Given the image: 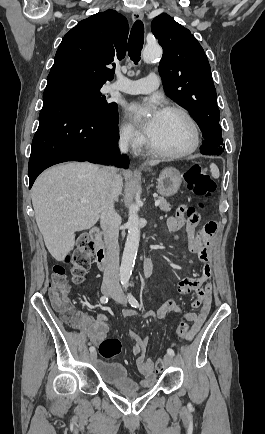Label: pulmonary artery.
<instances>
[{"label": "pulmonary artery", "mask_w": 265, "mask_h": 434, "mask_svg": "<svg viewBox=\"0 0 265 434\" xmlns=\"http://www.w3.org/2000/svg\"><path fill=\"white\" fill-rule=\"evenodd\" d=\"M125 80L126 81H117L116 84L112 85V89L120 90L128 94H145L152 90H157L159 76L153 73L146 75L138 81Z\"/></svg>", "instance_id": "obj_1"}]
</instances>
